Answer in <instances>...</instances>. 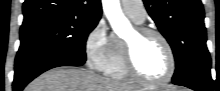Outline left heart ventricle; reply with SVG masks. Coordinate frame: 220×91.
Masks as SVG:
<instances>
[{"mask_svg":"<svg viewBox=\"0 0 220 91\" xmlns=\"http://www.w3.org/2000/svg\"><path fill=\"white\" fill-rule=\"evenodd\" d=\"M125 39L133 40L135 62L138 70L145 78L160 79L168 72V54L158 38L148 36L136 39L132 30Z\"/></svg>","mask_w":220,"mask_h":91,"instance_id":"obj_1","label":"left heart ventricle"}]
</instances>
